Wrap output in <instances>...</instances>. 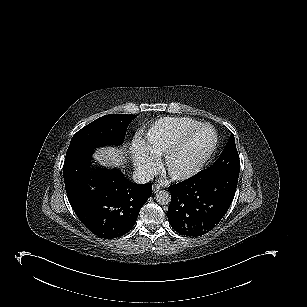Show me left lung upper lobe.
Returning a JSON list of instances; mask_svg holds the SVG:
<instances>
[{
    "label": "left lung upper lobe",
    "mask_w": 307,
    "mask_h": 307,
    "mask_svg": "<svg viewBox=\"0 0 307 307\" xmlns=\"http://www.w3.org/2000/svg\"><path fill=\"white\" fill-rule=\"evenodd\" d=\"M205 171L214 174H231L239 176L240 160L235 146L234 135L231 134L225 149L222 151L219 159Z\"/></svg>",
    "instance_id": "1"
}]
</instances>
